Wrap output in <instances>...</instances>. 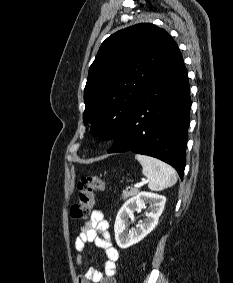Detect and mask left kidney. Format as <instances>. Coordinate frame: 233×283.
<instances>
[{"label": "left kidney", "mask_w": 233, "mask_h": 283, "mask_svg": "<svg viewBox=\"0 0 233 283\" xmlns=\"http://www.w3.org/2000/svg\"><path fill=\"white\" fill-rule=\"evenodd\" d=\"M165 203L166 198L164 196L149 192H140L136 197L125 202L119 210L114 224L117 245L122 249H126L147 236L158 224ZM146 204H149L146 213L147 218L143 222H139L136 229L129 231V233L125 232L129 224V218L133 216L134 212L141 211Z\"/></svg>", "instance_id": "obj_1"}]
</instances>
